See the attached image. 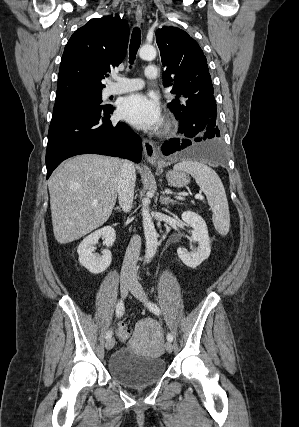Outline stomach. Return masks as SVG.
Segmentation results:
<instances>
[{
  "label": "stomach",
  "mask_w": 299,
  "mask_h": 427,
  "mask_svg": "<svg viewBox=\"0 0 299 427\" xmlns=\"http://www.w3.org/2000/svg\"><path fill=\"white\" fill-rule=\"evenodd\" d=\"M158 171L161 172V169L158 168ZM166 179L168 184L175 188L185 187L190 182V178L187 173L177 170L169 171L166 174Z\"/></svg>",
  "instance_id": "stomach-1"
}]
</instances>
